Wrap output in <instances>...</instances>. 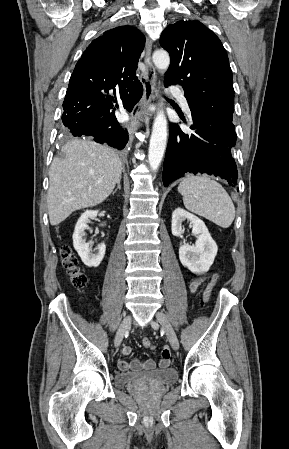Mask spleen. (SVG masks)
Instances as JSON below:
<instances>
[{
  "label": "spleen",
  "instance_id": "3e777b00",
  "mask_svg": "<svg viewBox=\"0 0 289 449\" xmlns=\"http://www.w3.org/2000/svg\"><path fill=\"white\" fill-rule=\"evenodd\" d=\"M178 192L184 206L222 228H228L235 218V207L221 184L206 175H190L184 178Z\"/></svg>",
  "mask_w": 289,
  "mask_h": 449
}]
</instances>
